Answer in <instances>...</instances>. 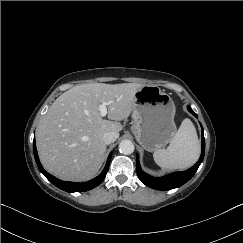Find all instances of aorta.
Segmentation results:
<instances>
[{"instance_id":"aorta-1","label":"aorta","mask_w":243,"mask_h":243,"mask_svg":"<svg viewBox=\"0 0 243 243\" xmlns=\"http://www.w3.org/2000/svg\"><path fill=\"white\" fill-rule=\"evenodd\" d=\"M119 151L125 155L132 154L134 152V144L128 139L122 140L119 144Z\"/></svg>"}]
</instances>
